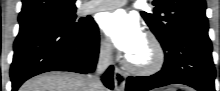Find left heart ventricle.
I'll return each instance as SVG.
<instances>
[{"label":"left heart ventricle","instance_id":"left-heart-ventricle-1","mask_svg":"<svg viewBox=\"0 0 220 91\" xmlns=\"http://www.w3.org/2000/svg\"><path fill=\"white\" fill-rule=\"evenodd\" d=\"M151 47L144 39L142 44L128 57L136 65H146L151 59Z\"/></svg>","mask_w":220,"mask_h":91}]
</instances>
